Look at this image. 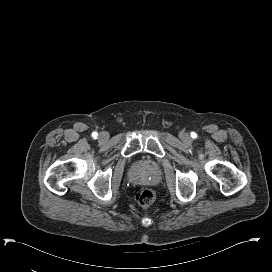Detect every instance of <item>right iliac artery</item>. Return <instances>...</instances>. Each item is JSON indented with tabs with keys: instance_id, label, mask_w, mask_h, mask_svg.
Here are the masks:
<instances>
[{
	"instance_id": "right-iliac-artery-1",
	"label": "right iliac artery",
	"mask_w": 272,
	"mask_h": 272,
	"mask_svg": "<svg viewBox=\"0 0 272 272\" xmlns=\"http://www.w3.org/2000/svg\"><path fill=\"white\" fill-rule=\"evenodd\" d=\"M97 136H98V133H97V132H93V133H92V137H93L94 139H96Z\"/></svg>"
}]
</instances>
